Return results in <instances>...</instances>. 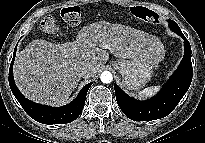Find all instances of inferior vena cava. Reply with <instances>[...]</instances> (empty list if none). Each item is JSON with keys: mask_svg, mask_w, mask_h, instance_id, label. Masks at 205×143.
<instances>
[{"mask_svg": "<svg viewBox=\"0 0 205 143\" xmlns=\"http://www.w3.org/2000/svg\"><path fill=\"white\" fill-rule=\"evenodd\" d=\"M95 74V68L92 65H84L80 69V75L83 78H89L92 77Z\"/></svg>", "mask_w": 205, "mask_h": 143, "instance_id": "1", "label": "inferior vena cava"}]
</instances>
